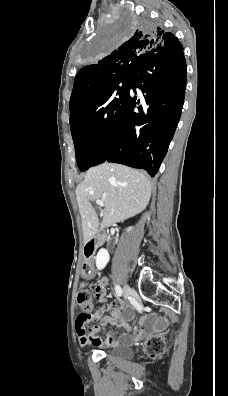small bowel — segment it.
<instances>
[{
	"mask_svg": "<svg viewBox=\"0 0 228 396\" xmlns=\"http://www.w3.org/2000/svg\"><path fill=\"white\" fill-rule=\"evenodd\" d=\"M83 272L86 276H92L94 272L93 264L87 261L83 266ZM108 279L102 277L95 286L96 298L100 301L106 299V286ZM134 316V308L131 305H125L119 301L103 305L94 315V320L99 325L93 326L88 332L85 328L77 323V336L81 346H94L98 348L113 347L123 343L138 341L146 336L153 328L154 324L149 319H143L141 322V330L137 335L130 333L128 322ZM113 323L124 328V332L117 335L115 332H107L104 338L99 337L100 330L107 324Z\"/></svg>",
	"mask_w": 228,
	"mask_h": 396,
	"instance_id": "1",
	"label": "small bowel"
}]
</instances>
